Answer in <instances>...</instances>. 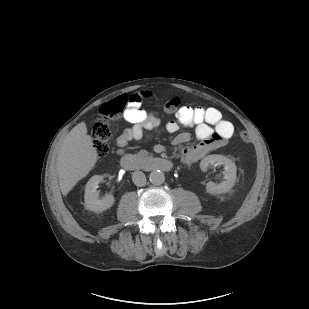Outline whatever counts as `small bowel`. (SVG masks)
Masks as SVG:
<instances>
[{
	"instance_id": "obj_1",
	"label": "small bowel",
	"mask_w": 309,
	"mask_h": 309,
	"mask_svg": "<svg viewBox=\"0 0 309 309\" xmlns=\"http://www.w3.org/2000/svg\"><path fill=\"white\" fill-rule=\"evenodd\" d=\"M148 93L136 94L130 97L124 112V119L132 126L127 128L117 139L118 153H124V148L129 140H139L144 130L157 129L160 120L158 116L146 112L142 108L144 96ZM176 120L167 122L166 129L176 133L181 126L194 128L197 143L182 150L181 161L185 165L193 164L210 152L223 146L234 134L231 122L222 118L221 112L213 107L182 106L176 111ZM187 132L178 134L174 143L182 145L190 140Z\"/></svg>"
}]
</instances>
